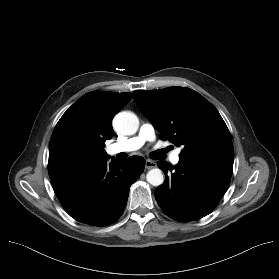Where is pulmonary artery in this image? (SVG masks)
I'll return each instance as SVG.
<instances>
[{
	"instance_id": "e3ab8cb5",
	"label": "pulmonary artery",
	"mask_w": 279,
	"mask_h": 279,
	"mask_svg": "<svg viewBox=\"0 0 279 279\" xmlns=\"http://www.w3.org/2000/svg\"><path fill=\"white\" fill-rule=\"evenodd\" d=\"M155 138L154 126L151 123L142 124L139 133L129 139L113 143L108 148L109 154L114 155L121 152H133L140 149L147 141H153ZM180 149H176L170 155V162L177 164L180 160Z\"/></svg>"
}]
</instances>
